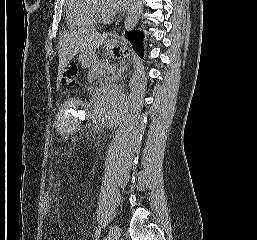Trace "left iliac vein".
<instances>
[{"label":"left iliac vein","mask_w":257,"mask_h":240,"mask_svg":"<svg viewBox=\"0 0 257 240\" xmlns=\"http://www.w3.org/2000/svg\"><path fill=\"white\" fill-rule=\"evenodd\" d=\"M120 237V228L118 225L111 226L106 240H118Z\"/></svg>","instance_id":"1"}]
</instances>
